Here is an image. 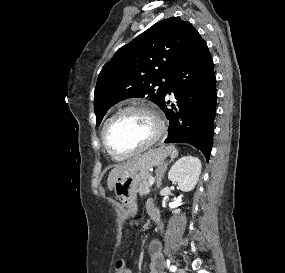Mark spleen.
<instances>
[{
    "label": "spleen",
    "mask_w": 285,
    "mask_h": 273,
    "mask_svg": "<svg viewBox=\"0 0 285 273\" xmlns=\"http://www.w3.org/2000/svg\"><path fill=\"white\" fill-rule=\"evenodd\" d=\"M166 150L169 152V154L171 155L172 158H175L178 154L176 148L173 146H167Z\"/></svg>",
    "instance_id": "1"
}]
</instances>
